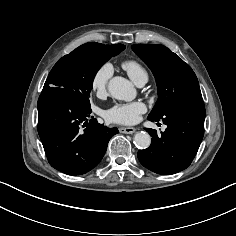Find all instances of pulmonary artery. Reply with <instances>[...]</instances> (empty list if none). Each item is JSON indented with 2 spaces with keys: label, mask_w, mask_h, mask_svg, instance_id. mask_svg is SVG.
<instances>
[{
  "label": "pulmonary artery",
  "mask_w": 236,
  "mask_h": 236,
  "mask_svg": "<svg viewBox=\"0 0 236 236\" xmlns=\"http://www.w3.org/2000/svg\"><path fill=\"white\" fill-rule=\"evenodd\" d=\"M147 82V79L143 78L136 82L138 86H143Z\"/></svg>",
  "instance_id": "pulmonary-artery-1"
}]
</instances>
